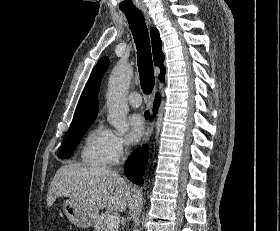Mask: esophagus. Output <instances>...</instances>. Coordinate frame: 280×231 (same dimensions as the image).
<instances>
[{
  "mask_svg": "<svg viewBox=\"0 0 280 231\" xmlns=\"http://www.w3.org/2000/svg\"><path fill=\"white\" fill-rule=\"evenodd\" d=\"M141 12L143 13L148 25H151V18H150V15L148 13V10H147V7L146 6H140L139 7ZM157 93V88H154L153 90V93H152V100L154 99L155 95ZM152 110H151V114H152ZM152 129H153V121L152 122H149L148 126H147V129L145 131V134H144V137L142 139V142H141V146L148 143L150 137H151V134H152Z\"/></svg>",
  "mask_w": 280,
  "mask_h": 231,
  "instance_id": "esophagus-1",
  "label": "esophagus"
}]
</instances>
